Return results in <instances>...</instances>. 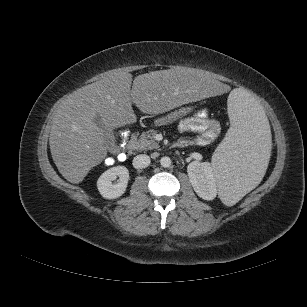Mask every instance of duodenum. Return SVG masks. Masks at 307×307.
I'll return each mask as SVG.
<instances>
[{
  "label": "duodenum",
  "mask_w": 307,
  "mask_h": 307,
  "mask_svg": "<svg viewBox=\"0 0 307 307\" xmlns=\"http://www.w3.org/2000/svg\"><path fill=\"white\" fill-rule=\"evenodd\" d=\"M175 146L177 147H186L187 146V143L184 142V141H177L175 143ZM137 147V141L135 139H129L126 146H125V149L123 151V153H127V152H131V151H134Z\"/></svg>",
  "instance_id": "410a0bca"
}]
</instances>
